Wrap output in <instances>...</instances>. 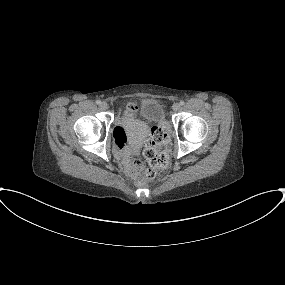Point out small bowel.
<instances>
[{
  "mask_svg": "<svg viewBox=\"0 0 285 285\" xmlns=\"http://www.w3.org/2000/svg\"><path fill=\"white\" fill-rule=\"evenodd\" d=\"M121 136H123V130L121 127H117L115 134H114V140H115V146L117 148V153L123 159V163H124L125 170H126L127 174L134 177L136 175V173L132 169L133 163H131L129 161V156L131 154V150L125 144L120 143V137Z\"/></svg>",
  "mask_w": 285,
  "mask_h": 285,
  "instance_id": "1",
  "label": "small bowel"
}]
</instances>
